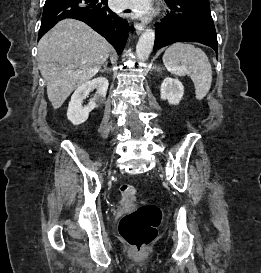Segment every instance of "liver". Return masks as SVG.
Returning a JSON list of instances; mask_svg holds the SVG:
<instances>
[{
    "mask_svg": "<svg viewBox=\"0 0 261 273\" xmlns=\"http://www.w3.org/2000/svg\"><path fill=\"white\" fill-rule=\"evenodd\" d=\"M111 50L104 37L74 19L60 21L40 39L39 69L54 109L98 73Z\"/></svg>",
    "mask_w": 261,
    "mask_h": 273,
    "instance_id": "obj_1",
    "label": "liver"
}]
</instances>
